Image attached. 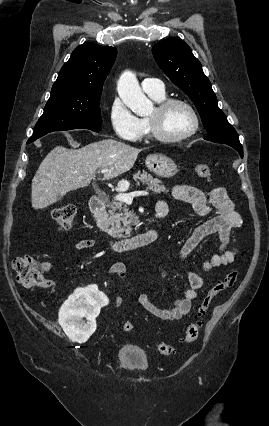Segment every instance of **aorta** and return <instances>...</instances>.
Listing matches in <instances>:
<instances>
[{
    "instance_id": "762f6f07",
    "label": "aorta",
    "mask_w": 269,
    "mask_h": 426,
    "mask_svg": "<svg viewBox=\"0 0 269 426\" xmlns=\"http://www.w3.org/2000/svg\"><path fill=\"white\" fill-rule=\"evenodd\" d=\"M117 91L124 104L136 115L143 116L152 110V102L144 95L136 75L131 71L122 73L118 80Z\"/></svg>"
}]
</instances>
